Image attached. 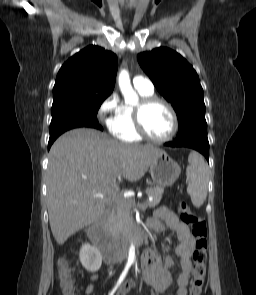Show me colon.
Masks as SVG:
<instances>
[{
    "instance_id": "5ec220e1",
    "label": "colon",
    "mask_w": 256,
    "mask_h": 295,
    "mask_svg": "<svg viewBox=\"0 0 256 295\" xmlns=\"http://www.w3.org/2000/svg\"><path fill=\"white\" fill-rule=\"evenodd\" d=\"M178 212L181 221L192 227L195 238L194 251L192 253L193 269L189 295H202L207 272V226L202 216L191 211L187 203L179 202ZM60 283L64 295H74V279L71 267L66 259L60 260Z\"/></svg>"
}]
</instances>
